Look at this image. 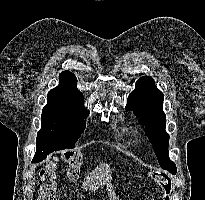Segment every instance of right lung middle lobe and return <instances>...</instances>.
Wrapping results in <instances>:
<instances>
[{"label":"right lung middle lobe","instance_id":"obj_1","mask_svg":"<svg viewBox=\"0 0 205 200\" xmlns=\"http://www.w3.org/2000/svg\"><path fill=\"white\" fill-rule=\"evenodd\" d=\"M88 114L89 111L84 107L83 94L57 86L48 92L37 140L51 139L61 149L74 148L86 127L85 118Z\"/></svg>","mask_w":205,"mask_h":200}]
</instances>
